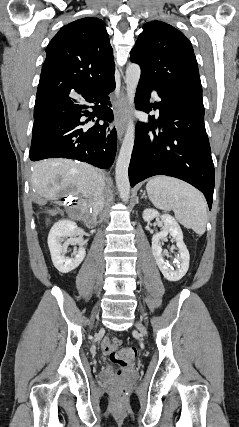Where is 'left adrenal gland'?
Listing matches in <instances>:
<instances>
[{"mask_svg": "<svg viewBox=\"0 0 239 427\" xmlns=\"http://www.w3.org/2000/svg\"><path fill=\"white\" fill-rule=\"evenodd\" d=\"M141 198H145V199H147V196H146V192H145V191L143 192V194H142Z\"/></svg>", "mask_w": 239, "mask_h": 427, "instance_id": "obj_1", "label": "left adrenal gland"}]
</instances>
